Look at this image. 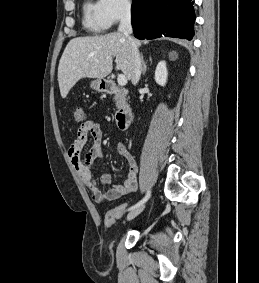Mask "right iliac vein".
<instances>
[{
    "label": "right iliac vein",
    "mask_w": 259,
    "mask_h": 283,
    "mask_svg": "<svg viewBox=\"0 0 259 283\" xmlns=\"http://www.w3.org/2000/svg\"><path fill=\"white\" fill-rule=\"evenodd\" d=\"M144 207H145L144 205H141L131 210L127 215V220L130 221L134 219L136 216H138L144 210Z\"/></svg>",
    "instance_id": "1"
}]
</instances>
